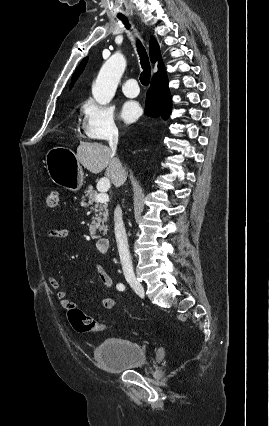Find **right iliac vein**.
<instances>
[{
    "label": "right iliac vein",
    "instance_id": "63e3f726",
    "mask_svg": "<svg viewBox=\"0 0 269 426\" xmlns=\"http://www.w3.org/2000/svg\"><path fill=\"white\" fill-rule=\"evenodd\" d=\"M127 282L129 283V285L134 289V291L139 296H141V297L144 296V288H143L142 284L134 276L128 277Z\"/></svg>",
    "mask_w": 269,
    "mask_h": 426
}]
</instances>
